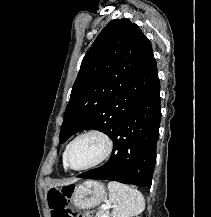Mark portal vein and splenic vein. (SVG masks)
Masks as SVG:
<instances>
[{"label": "portal vein and splenic vein", "mask_w": 211, "mask_h": 217, "mask_svg": "<svg viewBox=\"0 0 211 217\" xmlns=\"http://www.w3.org/2000/svg\"><path fill=\"white\" fill-rule=\"evenodd\" d=\"M108 208H109V206H107V205H105V204L101 205V209L106 210V209H108Z\"/></svg>", "instance_id": "portal-vein-and-splenic-vein-1"}]
</instances>
